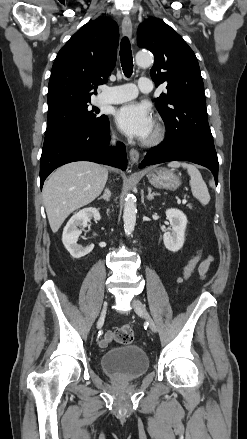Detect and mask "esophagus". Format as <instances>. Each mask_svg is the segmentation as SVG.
Returning <instances> with one entry per match:
<instances>
[{
  "label": "esophagus",
  "mask_w": 247,
  "mask_h": 439,
  "mask_svg": "<svg viewBox=\"0 0 247 439\" xmlns=\"http://www.w3.org/2000/svg\"><path fill=\"white\" fill-rule=\"evenodd\" d=\"M132 22L129 16H125L122 21V32L125 36H132ZM130 160L132 163H137L139 160V152L136 149L129 151Z\"/></svg>",
  "instance_id": "obj_1"
}]
</instances>
